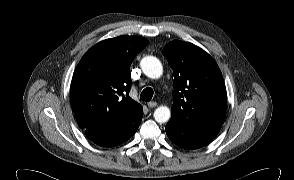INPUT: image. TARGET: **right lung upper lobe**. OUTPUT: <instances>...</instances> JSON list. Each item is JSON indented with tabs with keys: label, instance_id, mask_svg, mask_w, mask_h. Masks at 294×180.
Wrapping results in <instances>:
<instances>
[{
	"label": "right lung upper lobe",
	"instance_id": "1",
	"mask_svg": "<svg viewBox=\"0 0 294 180\" xmlns=\"http://www.w3.org/2000/svg\"><path fill=\"white\" fill-rule=\"evenodd\" d=\"M147 44L138 36H119L97 43L80 60L70 96L77 123L87 135L120 127L142 107L128 95L130 65Z\"/></svg>",
	"mask_w": 294,
	"mask_h": 180
}]
</instances>
